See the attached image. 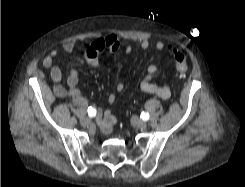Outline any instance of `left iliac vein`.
Instances as JSON below:
<instances>
[{"instance_id":"1","label":"left iliac vein","mask_w":245,"mask_h":187,"mask_svg":"<svg viewBox=\"0 0 245 187\" xmlns=\"http://www.w3.org/2000/svg\"><path fill=\"white\" fill-rule=\"evenodd\" d=\"M132 123L135 127L139 129H145L147 127V123L136 116L132 117Z\"/></svg>"}]
</instances>
